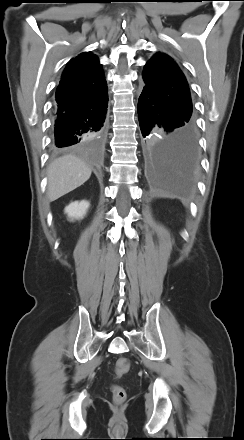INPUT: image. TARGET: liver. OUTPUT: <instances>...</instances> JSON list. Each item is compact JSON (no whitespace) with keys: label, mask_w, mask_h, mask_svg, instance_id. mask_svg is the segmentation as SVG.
<instances>
[{"label":"liver","mask_w":244,"mask_h":440,"mask_svg":"<svg viewBox=\"0 0 244 440\" xmlns=\"http://www.w3.org/2000/svg\"><path fill=\"white\" fill-rule=\"evenodd\" d=\"M91 172V168L74 155H64L54 160L47 171L49 201H55L84 184Z\"/></svg>","instance_id":"obj_1"}]
</instances>
